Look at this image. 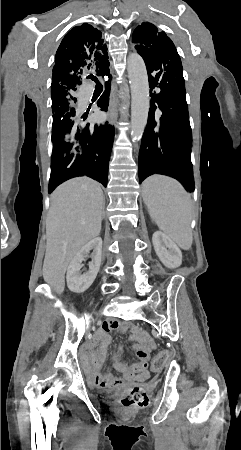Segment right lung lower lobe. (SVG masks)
<instances>
[{
	"mask_svg": "<svg viewBox=\"0 0 241 450\" xmlns=\"http://www.w3.org/2000/svg\"><path fill=\"white\" fill-rule=\"evenodd\" d=\"M108 67L109 64L97 71L98 76L109 78L105 82L103 94L97 101L102 111H107L109 103L112 76ZM74 117L66 115L55 123L56 131L61 134H72L74 142L70 145H53L49 193L64 181L84 175L107 186L114 128L111 125L77 126Z\"/></svg>",
	"mask_w": 241,
	"mask_h": 450,
	"instance_id": "right-lung-lower-lobe-1",
	"label": "right lung lower lobe"
}]
</instances>
